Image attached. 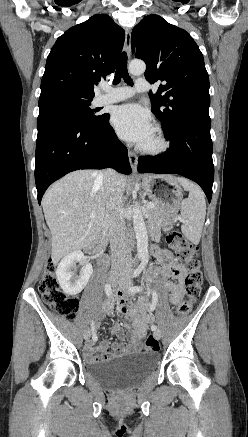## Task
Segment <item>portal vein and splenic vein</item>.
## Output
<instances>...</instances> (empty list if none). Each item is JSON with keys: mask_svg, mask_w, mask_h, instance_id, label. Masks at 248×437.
I'll return each mask as SVG.
<instances>
[{"mask_svg": "<svg viewBox=\"0 0 248 437\" xmlns=\"http://www.w3.org/2000/svg\"><path fill=\"white\" fill-rule=\"evenodd\" d=\"M153 206H154V203H152V202H150V203L147 204V207H153ZM90 216H91V217H95V212H92V213L90 214Z\"/></svg>", "mask_w": 248, "mask_h": 437, "instance_id": "portal-vein-and-splenic-vein-1", "label": "portal vein and splenic vein"}]
</instances>
